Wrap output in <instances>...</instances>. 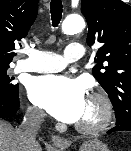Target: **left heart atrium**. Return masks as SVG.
Instances as JSON below:
<instances>
[{"mask_svg": "<svg viewBox=\"0 0 131 151\" xmlns=\"http://www.w3.org/2000/svg\"><path fill=\"white\" fill-rule=\"evenodd\" d=\"M27 89L35 105L60 121L75 123L83 115L85 87L78 80L57 75L39 76L29 82Z\"/></svg>", "mask_w": 131, "mask_h": 151, "instance_id": "39dd6f15", "label": "left heart atrium"}]
</instances>
